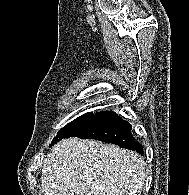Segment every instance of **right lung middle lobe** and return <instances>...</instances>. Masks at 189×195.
<instances>
[{"mask_svg": "<svg viewBox=\"0 0 189 195\" xmlns=\"http://www.w3.org/2000/svg\"><path fill=\"white\" fill-rule=\"evenodd\" d=\"M92 116L93 113L89 112L67 124L58 132L57 136L51 142V145L62 140L63 138H69L74 136L79 130H81L86 125V123L91 119Z\"/></svg>", "mask_w": 189, "mask_h": 195, "instance_id": "dd1d6c3e", "label": "right lung middle lobe"}]
</instances>
